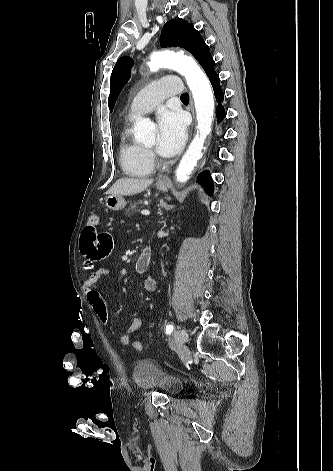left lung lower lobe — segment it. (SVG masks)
I'll return each instance as SVG.
<instances>
[{"label":"left lung lower lobe","instance_id":"left-lung-lower-lobe-1","mask_svg":"<svg viewBox=\"0 0 333 471\" xmlns=\"http://www.w3.org/2000/svg\"><path fill=\"white\" fill-rule=\"evenodd\" d=\"M214 64H215V62H214L212 56L209 55L205 59V61L201 64V66L203 67L204 71L206 72V74H207V76H208V78H209V80L212 84L214 94H215V98H216V101L218 102L217 120L221 121L225 117V110H224V107L221 104L223 102L224 95H223V91L220 87L219 76H218V74L216 73V71L214 69ZM197 179L203 184V186H205L208 193L210 195H212V193H213V183H212V179H211L209 173L206 172V171L202 172L198 175Z\"/></svg>","mask_w":333,"mask_h":471}]
</instances>
